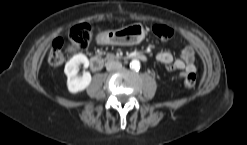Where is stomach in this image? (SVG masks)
I'll use <instances>...</instances> for the list:
<instances>
[{"instance_id": "obj_1", "label": "stomach", "mask_w": 247, "mask_h": 145, "mask_svg": "<svg viewBox=\"0 0 247 145\" xmlns=\"http://www.w3.org/2000/svg\"><path fill=\"white\" fill-rule=\"evenodd\" d=\"M145 35L146 31L141 24H130L101 34L103 43L122 46L139 44Z\"/></svg>"}]
</instances>
